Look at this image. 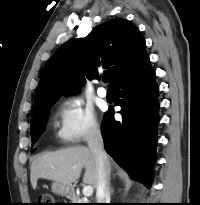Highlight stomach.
<instances>
[{
  "mask_svg": "<svg viewBox=\"0 0 200 205\" xmlns=\"http://www.w3.org/2000/svg\"><path fill=\"white\" fill-rule=\"evenodd\" d=\"M53 193L60 196H70L71 195V186L62 184L60 182H53L51 186Z\"/></svg>",
  "mask_w": 200,
  "mask_h": 205,
  "instance_id": "stomach-1",
  "label": "stomach"
}]
</instances>
